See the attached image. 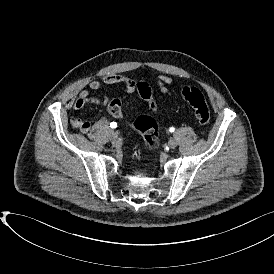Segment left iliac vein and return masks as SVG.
I'll return each mask as SVG.
<instances>
[{"label":"left iliac vein","instance_id":"4c4485c4","mask_svg":"<svg viewBox=\"0 0 274 274\" xmlns=\"http://www.w3.org/2000/svg\"><path fill=\"white\" fill-rule=\"evenodd\" d=\"M168 145L171 149H174L177 146V140L175 138H170Z\"/></svg>","mask_w":274,"mask_h":274}]
</instances>
